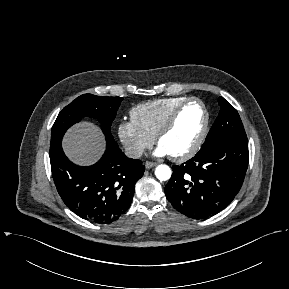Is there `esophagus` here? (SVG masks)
Here are the masks:
<instances>
[{
	"label": "esophagus",
	"instance_id": "1",
	"mask_svg": "<svg viewBox=\"0 0 289 289\" xmlns=\"http://www.w3.org/2000/svg\"><path fill=\"white\" fill-rule=\"evenodd\" d=\"M157 165V163H155V162H150V161H146L145 162V167L147 168V169H150V168H152V167H155Z\"/></svg>",
	"mask_w": 289,
	"mask_h": 289
}]
</instances>
